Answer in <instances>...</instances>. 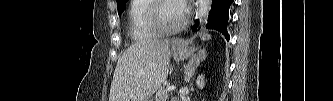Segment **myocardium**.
<instances>
[{
  "label": "myocardium",
  "instance_id": "myocardium-1",
  "mask_svg": "<svg viewBox=\"0 0 333 101\" xmlns=\"http://www.w3.org/2000/svg\"><path fill=\"white\" fill-rule=\"evenodd\" d=\"M166 2H171V1H165V0L153 1L152 4L150 5V7L147 11V15H146V21H147L149 28L152 31H154L157 35H160V36L175 34L179 31H181L187 24V15L183 14L181 21L173 28L166 29V28L162 27L160 20H159V9Z\"/></svg>",
  "mask_w": 333,
  "mask_h": 101
}]
</instances>
